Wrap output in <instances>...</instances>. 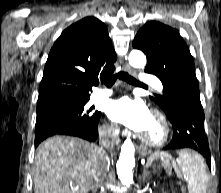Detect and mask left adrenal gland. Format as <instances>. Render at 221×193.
I'll use <instances>...</instances> for the list:
<instances>
[{
  "label": "left adrenal gland",
  "instance_id": "a2214340",
  "mask_svg": "<svg viewBox=\"0 0 221 193\" xmlns=\"http://www.w3.org/2000/svg\"><path fill=\"white\" fill-rule=\"evenodd\" d=\"M151 177V173L147 170V168H143V172H142V178H143V181H145L146 178L148 177Z\"/></svg>",
  "mask_w": 221,
  "mask_h": 193
}]
</instances>
